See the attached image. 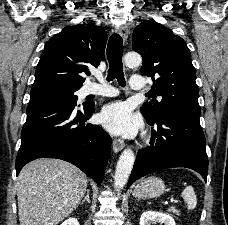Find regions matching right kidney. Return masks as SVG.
Returning a JSON list of instances; mask_svg holds the SVG:
<instances>
[{
    "instance_id": "right-kidney-1",
    "label": "right kidney",
    "mask_w": 228,
    "mask_h": 225,
    "mask_svg": "<svg viewBox=\"0 0 228 225\" xmlns=\"http://www.w3.org/2000/svg\"><path fill=\"white\" fill-rule=\"evenodd\" d=\"M62 225H79V223L77 219H73V217H69V219H67V221H64Z\"/></svg>"
}]
</instances>
